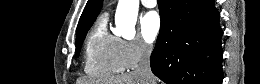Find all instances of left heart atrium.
Segmentation results:
<instances>
[{"label": "left heart atrium", "instance_id": "39dd6f15", "mask_svg": "<svg viewBox=\"0 0 260 84\" xmlns=\"http://www.w3.org/2000/svg\"><path fill=\"white\" fill-rule=\"evenodd\" d=\"M161 22L157 12L146 13L141 20V34L145 41L152 42L160 30Z\"/></svg>", "mask_w": 260, "mask_h": 84}]
</instances>
